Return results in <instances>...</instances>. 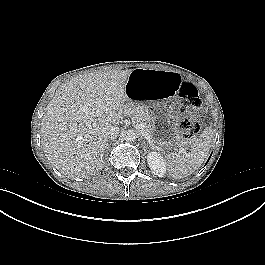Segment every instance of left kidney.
Masks as SVG:
<instances>
[{
  "label": "left kidney",
  "instance_id": "5707ae66",
  "mask_svg": "<svg viewBox=\"0 0 265 265\" xmlns=\"http://www.w3.org/2000/svg\"><path fill=\"white\" fill-rule=\"evenodd\" d=\"M147 162L154 174L163 177L166 173V163L163 157L155 151L148 153Z\"/></svg>",
  "mask_w": 265,
  "mask_h": 265
}]
</instances>
